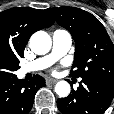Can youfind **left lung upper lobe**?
I'll use <instances>...</instances> for the list:
<instances>
[{
  "label": "left lung upper lobe",
  "instance_id": "5c2ea615",
  "mask_svg": "<svg viewBox=\"0 0 114 114\" xmlns=\"http://www.w3.org/2000/svg\"><path fill=\"white\" fill-rule=\"evenodd\" d=\"M46 11L69 30L75 41L71 76L114 83V45L101 22L75 7L48 8Z\"/></svg>",
  "mask_w": 114,
  "mask_h": 114
}]
</instances>
